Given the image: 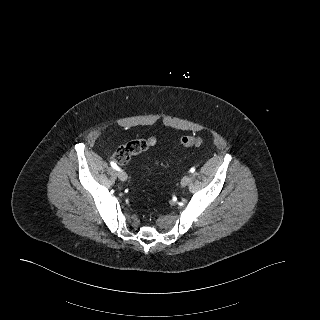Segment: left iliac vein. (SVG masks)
<instances>
[{
	"label": "left iliac vein",
	"mask_w": 320,
	"mask_h": 320,
	"mask_svg": "<svg viewBox=\"0 0 320 320\" xmlns=\"http://www.w3.org/2000/svg\"><path fill=\"white\" fill-rule=\"evenodd\" d=\"M190 182V176L189 175H185L182 179H181V187H185L188 185V183Z\"/></svg>",
	"instance_id": "4c4485c4"
}]
</instances>
